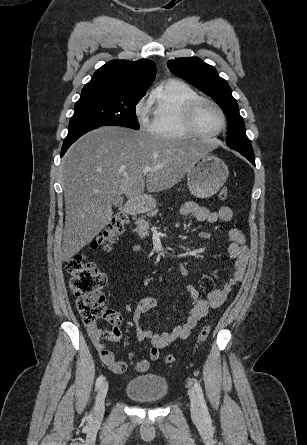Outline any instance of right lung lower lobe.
Wrapping results in <instances>:
<instances>
[{
    "instance_id": "right-lung-lower-lobe-1",
    "label": "right lung lower lobe",
    "mask_w": 307,
    "mask_h": 445,
    "mask_svg": "<svg viewBox=\"0 0 307 445\" xmlns=\"http://www.w3.org/2000/svg\"><path fill=\"white\" fill-rule=\"evenodd\" d=\"M98 127H101V126H91V127L83 128V129L78 130L73 133H68V135L65 138L64 143H63V147L61 150V157L65 154V152L71 146V144L74 143L79 137H81L83 134H85L93 129H96Z\"/></svg>"
}]
</instances>
